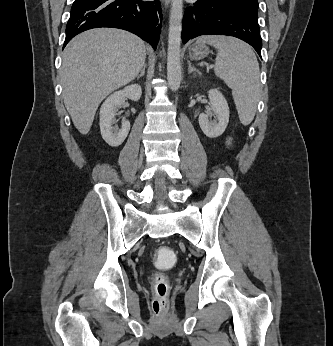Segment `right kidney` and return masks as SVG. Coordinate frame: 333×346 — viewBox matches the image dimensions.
<instances>
[{
  "mask_svg": "<svg viewBox=\"0 0 333 346\" xmlns=\"http://www.w3.org/2000/svg\"><path fill=\"white\" fill-rule=\"evenodd\" d=\"M142 90L138 84H132L111 94L100 108V130L102 138L112 147H118L123 143L130 130V122L124 120L121 129L113 127L118 109L124 104L125 98L138 101Z\"/></svg>",
  "mask_w": 333,
  "mask_h": 346,
  "instance_id": "1",
  "label": "right kidney"
}]
</instances>
